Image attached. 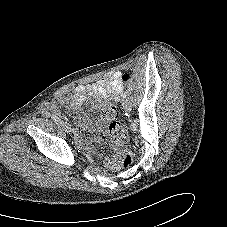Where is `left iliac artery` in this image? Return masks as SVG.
<instances>
[{"label":"left iliac artery","mask_w":227,"mask_h":227,"mask_svg":"<svg viewBox=\"0 0 227 227\" xmlns=\"http://www.w3.org/2000/svg\"><path fill=\"white\" fill-rule=\"evenodd\" d=\"M121 97L123 98V100L126 99V94L122 92Z\"/></svg>","instance_id":"left-iliac-artery-1"}]
</instances>
